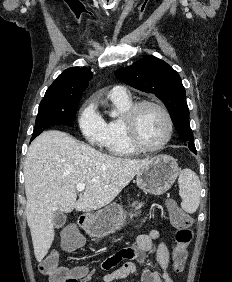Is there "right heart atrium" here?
Segmentation results:
<instances>
[{"label":"right heart atrium","instance_id":"1","mask_svg":"<svg viewBox=\"0 0 232 282\" xmlns=\"http://www.w3.org/2000/svg\"><path fill=\"white\" fill-rule=\"evenodd\" d=\"M78 125L84 138L92 145L103 146L105 139V121L92 102L82 107Z\"/></svg>","mask_w":232,"mask_h":282}]
</instances>
